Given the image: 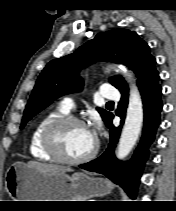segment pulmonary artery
I'll return each mask as SVG.
<instances>
[{
	"instance_id": "pulmonary-artery-1",
	"label": "pulmonary artery",
	"mask_w": 176,
	"mask_h": 211,
	"mask_svg": "<svg viewBox=\"0 0 176 211\" xmlns=\"http://www.w3.org/2000/svg\"><path fill=\"white\" fill-rule=\"evenodd\" d=\"M100 96L108 100H117L119 98V91L114 89L111 85L105 84L101 87ZM61 108L69 112L74 108V102L71 98L66 97L61 102Z\"/></svg>"
}]
</instances>
